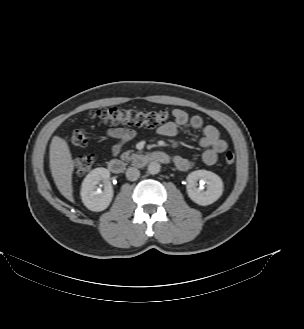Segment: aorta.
Listing matches in <instances>:
<instances>
[{
    "label": "aorta",
    "mask_w": 304,
    "mask_h": 329,
    "mask_svg": "<svg viewBox=\"0 0 304 329\" xmlns=\"http://www.w3.org/2000/svg\"><path fill=\"white\" fill-rule=\"evenodd\" d=\"M160 169H161V166L159 163L157 162H151L149 165H148V173L151 174V175H156L160 172Z\"/></svg>",
    "instance_id": "1"
}]
</instances>
